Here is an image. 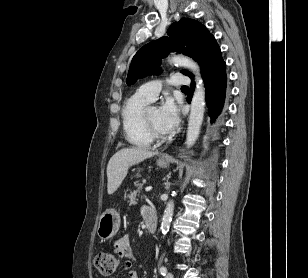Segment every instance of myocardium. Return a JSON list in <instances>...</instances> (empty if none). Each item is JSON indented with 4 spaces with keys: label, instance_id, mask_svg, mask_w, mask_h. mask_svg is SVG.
Here are the masks:
<instances>
[{
    "label": "myocardium",
    "instance_id": "myocardium-1",
    "mask_svg": "<svg viewBox=\"0 0 308 278\" xmlns=\"http://www.w3.org/2000/svg\"><path fill=\"white\" fill-rule=\"evenodd\" d=\"M148 110L149 109H145L144 112H143L142 119H143L144 126H145L147 132L149 133V135L153 139H161V138H163V134L160 131H158L157 129H155L154 126L151 124V122L148 118Z\"/></svg>",
    "mask_w": 308,
    "mask_h": 278
}]
</instances>
